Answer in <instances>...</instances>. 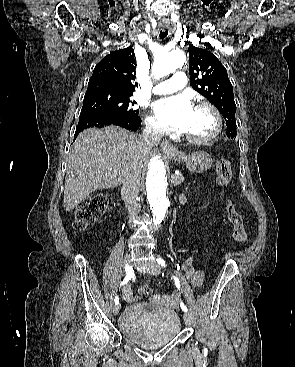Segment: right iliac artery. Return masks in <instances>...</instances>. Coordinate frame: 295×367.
Returning <instances> with one entry per match:
<instances>
[{"label":"right iliac artery","mask_w":295,"mask_h":367,"mask_svg":"<svg viewBox=\"0 0 295 367\" xmlns=\"http://www.w3.org/2000/svg\"><path fill=\"white\" fill-rule=\"evenodd\" d=\"M125 271H126V276H125L124 280L121 282L120 286H123L124 284L129 282V280L134 276V270L131 266L126 265L125 266ZM114 302H115V304H119V297L118 296L115 297Z\"/></svg>","instance_id":"obj_1"}]
</instances>
